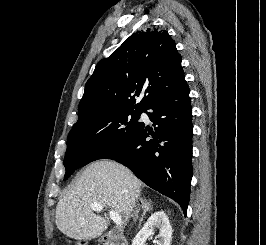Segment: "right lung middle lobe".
<instances>
[{"label": "right lung middle lobe", "mask_w": 266, "mask_h": 245, "mask_svg": "<svg viewBox=\"0 0 266 245\" xmlns=\"http://www.w3.org/2000/svg\"><path fill=\"white\" fill-rule=\"evenodd\" d=\"M144 110L116 107L78 119L68 135L64 180L76 169L122 149L138 131Z\"/></svg>", "instance_id": "right-lung-middle-lobe-1"}]
</instances>
